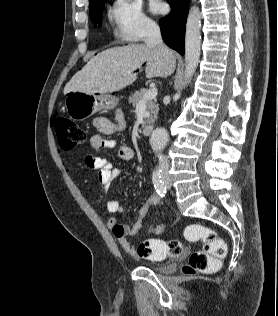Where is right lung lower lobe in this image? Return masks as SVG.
I'll return each mask as SVG.
<instances>
[{
	"label": "right lung lower lobe",
	"instance_id": "1",
	"mask_svg": "<svg viewBox=\"0 0 278 316\" xmlns=\"http://www.w3.org/2000/svg\"><path fill=\"white\" fill-rule=\"evenodd\" d=\"M171 13L160 20L164 42L181 55L184 54L185 24L188 15L189 0H167Z\"/></svg>",
	"mask_w": 278,
	"mask_h": 316
}]
</instances>
